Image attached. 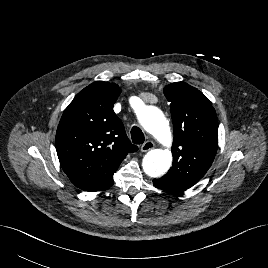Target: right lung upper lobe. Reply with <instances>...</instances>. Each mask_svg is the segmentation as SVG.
Instances as JSON below:
<instances>
[{
    "label": "right lung upper lobe",
    "mask_w": 268,
    "mask_h": 268,
    "mask_svg": "<svg viewBox=\"0 0 268 268\" xmlns=\"http://www.w3.org/2000/svg\"><path fill=\"white\" fill-rule=\"evenodd\" d=\"M121 89L96 81L80 91L65 109L56 132L57 155L72 183L96 192L113 185V174L127 153L138 147L113 111Z\"/></svg>",
    "instance_id": "obj_1"
}]
</instances>
